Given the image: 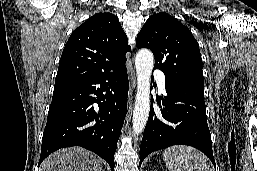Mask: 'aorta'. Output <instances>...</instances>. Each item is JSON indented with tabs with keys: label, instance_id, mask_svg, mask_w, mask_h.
<instances>
[{
	"label": "aorta",
	"instance_id": "1",
	"mask_svg": "<svg viewBox=\"0 0 257 171\" xmlns=\"http://www.w3.org/2000/svg\"><path fill=\"white\" fill-rule=\"evenodd\" d=\"M154 57L150 50L141 49L135 57L137 94L133 112V132L139 135L145 128L150 111V81Z\"/></svg>",
	"mask_w": 257,
	"mask_h": 171
}]
</instances>
